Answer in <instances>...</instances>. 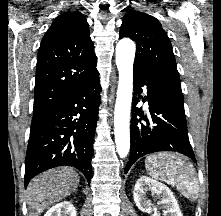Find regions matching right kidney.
Segmentation results:
<instances>
[{
	"label": "right kidney",
	"mask_w": 221,
	"mask_h": 216,
	"mask_svg": "<svg viewBox=\"0 0 221 216\" xmlns=\"http://www.w3.org/2000/svg\"><path fill=\"white\" fill-rule=\"evenodd\" d=\"M44 216H77V215L74 205L69 201H64L51 207Z\"/></svg>",
	"instance_id": "1"
}]
</instances>
